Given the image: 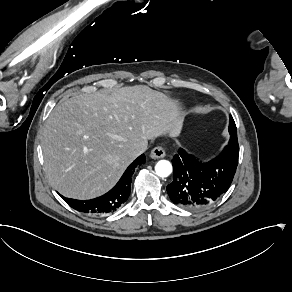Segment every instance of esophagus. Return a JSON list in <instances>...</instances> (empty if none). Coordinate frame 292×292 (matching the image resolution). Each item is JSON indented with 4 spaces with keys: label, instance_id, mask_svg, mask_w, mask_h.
I'll list each match as a JSON object with an SVG mask.
<instances>
[{
    "label": "esophagus",
    "instance_id": "1",
    "mask_svg": "<svg viewBox=\"0 0 292 292\" xmlns=\"http://www.w3.org/2000/svg\"><path fill=\"white\" fill-rule=\"evenodd\" d=\"M165 150L161 146H156L155 148L152 149L150 152V157L152 159H160L165 157Z\"/></svg>",
    "mask_w": 292,
    "mask_h": 292
}]
</instances>
